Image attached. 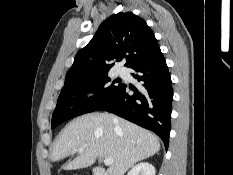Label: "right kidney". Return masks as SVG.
I'll return each instance as SVG.
<instances>
[{"label": "right kidney", "mask_w": 233, "mask_h": 175, "mask_svg": "<svg viewBox=\"0 0 233 175\" xmlns=\"http://www.w3.org/2000/svg\"><path fill=\"white\" fill-rule=\"evenodd\" d=\"M154 166L148 162H141L134 166L127 175H155Z\"/></svg>", "instance_id": "right-kidney-1"}]
</instances>
